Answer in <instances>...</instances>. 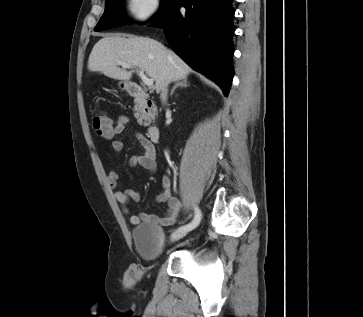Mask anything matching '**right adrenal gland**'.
I'll use <instances>...</instances> for the list:
<instances>
[{
    "mask_svg": "<svg viewBox=\"0 0 363 317\" xmlns=\"http://www.w3.org/2000/svg\"><path fill=\"white\" fill-rule=\"evenodd\" d=\"M189 84L187 83V78L185 79H181L180 81H178L172 88L171 92H170V96H173L174 91L177 87H188Z\"/></svg>",
    "mask_w": 363,
    "mask_h": 317,
    "instance_id": "right-adrenal-gland-1",
    "label": "right adrenal gland"
}]
</instances>
